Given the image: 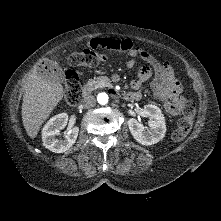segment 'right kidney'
<instances>
[{
    "mask_svg": "<svg viewBox=\"0 0 221 221\" xmlns=\"http://www.w3.org/2000/svg\"><path fill=\"white\" fill-rule=\"evenodd\" d=\"M68 122V115L66 113L58 114L52 117L43 127L42 141L43 146L55 153H63L69 150L76 142L79 128H70L65 135L64 139H58L56 136L60 134Z\"/></svg>",
    "mask_w": 221,
    "mask_h": 221,
    "instance_id": "1",
    "label": "right kidney"
}]
</instances>
